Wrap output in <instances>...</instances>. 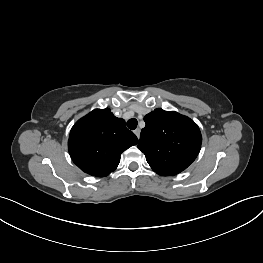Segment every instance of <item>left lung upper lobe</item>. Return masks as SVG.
<instances>
[{"label":"left lung upper lobe","mask_w":263,"mask_h":263,"mask_svg":"<svg viewBox=\"0 0 263 263\" xmlns=\"http://www.w3.org/2000/svg\"><path fill=\"white\" fill-rule=\"evenodd\" d=\"M146 126L138 148L159 175L173 176L185 170L197 157L202 142L199 127L175 111L155 109L144 117Z\"/></svg>","instance_id":"1"}]
</instances>
